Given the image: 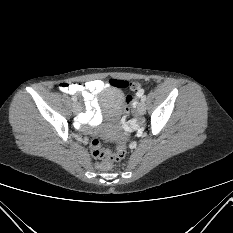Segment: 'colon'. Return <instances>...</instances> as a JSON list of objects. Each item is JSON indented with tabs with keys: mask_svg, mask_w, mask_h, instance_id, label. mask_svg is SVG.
<instances>
[{
	"mask_svg": "<svg viewBox=\"0 0 233 233\" xmlns=\"http://www.w3.org/2000/svg\"><path fill=\"white\" fill-rule=\"evenodd\" d=\"M111 84L120 88H130L131 90L138 91V85L136 83H129L124 80H111ZM132 103V97L126 96L124 99V118L127 123L130 121V105ZM92 156L96 159L103 160L100 167L102 169H108L112 162H119L124 159L127 152V140H122L115 152L105 150L101 147L98 139H93L90 144Z\"/></svg>",
	"mask_w": 233,
	"mask_h": 233,
	"instance_id": "colon-1",
	"label": "colon"
}]
</instances>
